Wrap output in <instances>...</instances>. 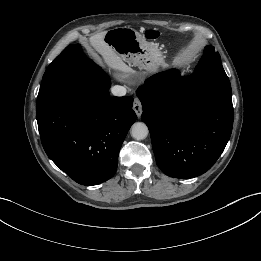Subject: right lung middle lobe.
<instances>
[{
    "label": "right lung middle lobe",
    "instance_id": "right-lung-middle-lobe-1",
    "mask_svg": "<svg viewBox=\"0 0 261 261\" xmlns=\"http://www.w3.org/2000/svg\"><path fill=\"white\" fill-rule=\"evenodd\" d=\"M100 70L102 69L84 55L80 44L69 45L46 69L36 106L68 82Z\"/></svg>",
    "mask_w": 261,
    "mask_h": 261
}]
</instances>
